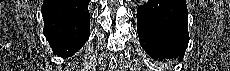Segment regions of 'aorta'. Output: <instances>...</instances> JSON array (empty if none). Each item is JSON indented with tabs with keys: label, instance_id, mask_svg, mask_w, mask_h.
<instances>
[{
	"label": "aorta",
	"instance_id": "1",
	"mask_svg": "<svg viewBox=\"0 0 230 71\" xmlns=\"http://www.w3.org/2000/svg\"><path fill=\"white\" fill-rule=\"evenodd\" d=\"M146 2H147L146 0H141V3H142V4H144V3H146Z\"/></svg>",
	"mask_w": 230,
	"mask_h": 71
}]
</instances>
